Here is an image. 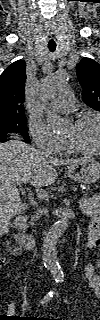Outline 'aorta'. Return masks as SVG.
<instances>
[{"mask_svg": "<svg viewBox=\"0 0 100 320\" xmlns=\"http://www.w3.org/2000/svg\"><path fill=\"white\" fill-rule=\"evenodd\" d=\"M68 74L63 70L54 71L44 78L40 88V97L44 105L53 100L67 82ZM45 119L53 130L65 129L69 121L51 109H45ZM68 227V215L65 214L49 229L44 238L42 259L51 275L56 280L64 278V273L57 259V243Z\"/></svg>", "mask_w": 100, "mask_h": 320, "instance_id": "762f6f07", "label": "aorta"}]
</instances>
